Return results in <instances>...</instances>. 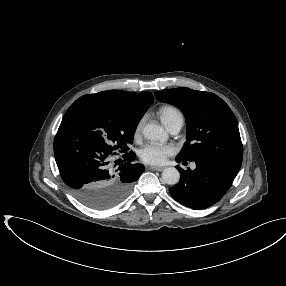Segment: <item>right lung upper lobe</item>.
<instances>
[{"instance_id":"1","label":"right lung upper lobe","mask_w":286,"mask_h":286,"mask_svg":"<svg viewBox=\"0 0 286 286\" xmlns=\"http://www.w3.org/2000/svg\"><path fill=\"white\" fill-rule=\"evenodd\" d=\"M90 96L101 97L116 102L132 110L146 112L154 98L150 92L133 93L120 90L103 91Z\"/></svg>"}]
</instances>
